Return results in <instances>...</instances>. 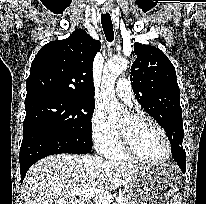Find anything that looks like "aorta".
<instances>
[{"mask_svg":"<svg viewBox=\"0 0 206 204\" xmlns=\"http://www.w3.org/2000/svg\"><path fill=\"white\" fill-rule=\"evenodd\" d=\"M126 68L127 59L116 57L109 60L103 70L101 94L108 116L112 121H118L127 114V109L119 103L114 91L117 78Z\"/></svg>","mask_w":206,"mask_h":204,"instance_id":"1","label":"aorta"}]
</instances>
